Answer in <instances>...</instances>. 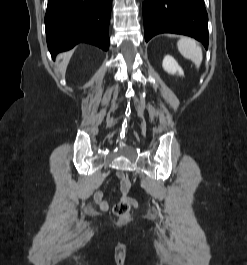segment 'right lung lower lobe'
I'll return each mask as SVG.
<instances>
[{"instance_id":"obj_1","label":"right lung lower lobe","mask_w":247,"mask_h":265,"mask_svg":"<svg viewBox=\"0 0 247 265\" xmlns=\"http://www.w3.org/2000/svg\"><path fill=\"white\" fill-rule=\"evenodd\" d=\"M111 5L112 0H48L45 27L52 57L80 42L107 51Z\"/></svg>"}]
</instances>
